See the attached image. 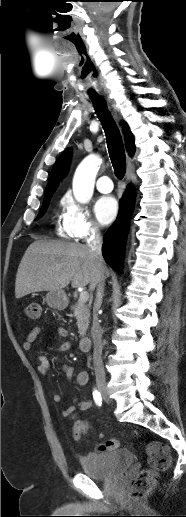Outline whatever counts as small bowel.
Instances as JSON below:
<instances>
[{
  "mask_svg": "<svg viewBox=\"0 0 186 517\" xmlns=\"http://www.w3.org/2000/svg\"><path fill=\"white\" fill-rule=\"evenodd\" d=\"M44 329L45 328L42 326L34 328L27 335L26 339L24 340V342L22 344L23 349L26 351L30 350L33 342L44 331ZM57 335H58V337L63 338L65 336H67V331L63 328H58ZM70 348H71L70 342H61L58 345H56L55 347H53L52 350H54L56 352H66V351L70 350ZM37 363H38L37 370L40 373L45 374L48 372L50 363L46 356L39 355L37 357ZM61 370L69 380H71L74 377V370L71 366L62 365ZM75 380H76L77 385L84 386L89 381V373L85 370H82L75 376ZM52 398H53V401L56 403L61 401V395L59 393H54ZM75 403H76V405L70 406L63 411V415L65 417L74 418L77 411L84 412V411H87L88 409H90V407L92 406V402L90 400H77ZM76 426H80V430H79L80 435L84 434L89 429V424L84 421H76L74 424V428Z\"/></svg>",
  "mask_w": 186,
  "mask_h": 517,
  "instance_id": "small-bowel-1",
  "label": "small bowel"
}]
</instances>
